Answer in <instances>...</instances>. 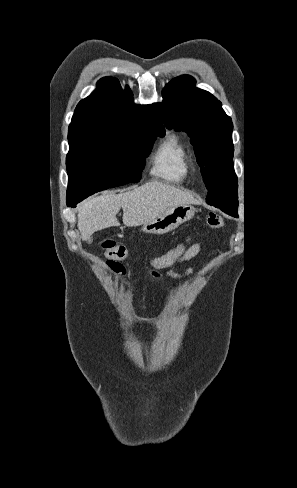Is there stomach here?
Wrapping results in <instances>:
<instances>
[{
    "label": "stomach",
    "mask_w": 297,
    "mask_h": 488,
    "mask_svg": "<svg viewBox=\"0 0 297 488\" xmlns=\"http://www.w3.org/2000/svg\"><path fill=\"white\" fill-rule=\"evenodd\" d=\"M196 209L191 204H179L163 212L161 215L146 223L142 231L151 234H165L186 221L191 220Z\"/></svg>",
    "instance_id": "obj_1"
}]
</instances>
